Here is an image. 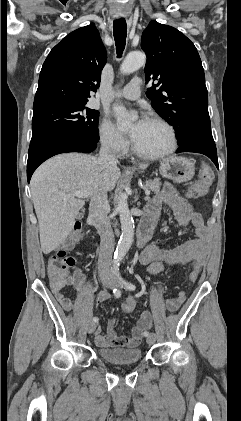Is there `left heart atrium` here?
Segmentation results:
<instances>
[{
    "label": "left heart atrium",
    "instance_id": "39dd6f15",
    "mask_svg": "<svg viewBox=\"0 0 241 421\" xmlns=\"http://www.w3.org/2000/svg\"><path fill=\"white\" fill-rule=\"evenodd\" d=\"M145 122H146V120H144V119L139 120V121L137 122V124H136V131H137L138 129H140V128H141V127L145 124ZM135 133H136V132L131 133V137H132V139L135 137Z\"/></svg>",
    "mask_w": 241,
    "mask_h": 421
}]
</instances>
